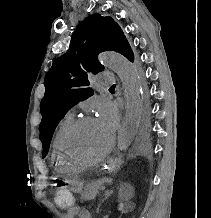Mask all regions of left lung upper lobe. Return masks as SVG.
<instances>
[{"mask_svg": "<svg viewBox=\"0 0 211 218\" xmlns=\"http://www.w3.org/2000/svg\"><path fill=\"white\" fill-rule=\"evenodd\" d=\"M103 51H115L134 61L120 26L110 16L93 14L79 24L69 50L54 59L44 81L45 95L40 106L43 157L47 155L53 131L69 108L93 95L90 77L104 69L97 59Z\"/></svg>", "mask_w": 211, "mask_h": 218, "instance_id": "obj_1", "label": "left lung upper lobe"}]
</instances>
